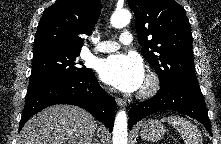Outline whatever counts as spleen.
Listing matches in <instances>:
<instances>
[{
    "instance_id": "3e777b00",
    "label": "spleen",
    "mask_w": 221,
    "mask_h": 144,
    "mask_svg": "<svg viewBox=\"0 0 221 144\" xmlns=\"http://www.w3.org/2000/svg\"><path fill=\"white\" fill-rule=\"evenodd\" d=\"M172 125L182 136L185 144H202L203 139L200 131L189 120L179 116H168L161 119Z\"/></svg>"
}]
</instances>
